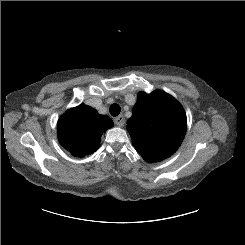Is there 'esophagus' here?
I'll list each match as a JSON object with an SVG mask.
<instances>
[{
  "label": "esophagus",
  "instance_id": "1",
  "mask_svg": "<svg viewBox=\"0 0 245 245\" xmlns=\"http://www.w3.org/2000/svg\"><path fill=\"white\" fill-rule=\"evenodd\" d=\"M114 123L119 126L122 127L125 124V118L123 115H119L118 117L114 118Z\"/></svg>",
  "mask_w": 245,
  "mask_h": 245
}]
</instances>
